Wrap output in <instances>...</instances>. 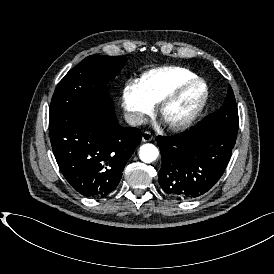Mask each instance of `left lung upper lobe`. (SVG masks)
<instances>
[{"label": "left lung upper lobe", "mask_w": 274, "mask_h": 274, "mask_svg": "<svg viewBox=\"0 0 274 274\" xmlns=\"http://www.w3.org/2000/svg\"><path fill=\"white\" fill-rule=\"evenodd\" d=\"M199 125L221 129L237 135L239 127L237 104L231 86L228 87L225 102L220 109L204 118Z\"/></svg>", "instance_id": "left-lung-upper-lobe-1"}]
</instances>
